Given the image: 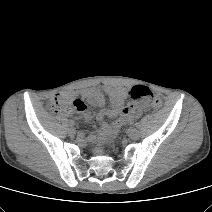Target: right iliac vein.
Masks as SVG:
<instances>
[{
    "label": "right iliac vein",
    "mask_w": 212,
    "mask_h": 212,
    "mask_svg": "<svg viewBox=\"0 0 212 212\" xmlns=\"http://www.w3.org/2000/svg\"><path fill=\"white\" fill-rule=\"evenodd\" d=\"M68 133L69 135L74 136L76 134V130L73 127H71L69 128Z\"/></svg>",
    "instance_id": "63e3f726"
}]
</instances>
